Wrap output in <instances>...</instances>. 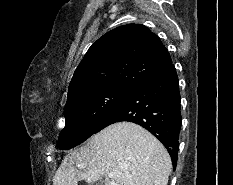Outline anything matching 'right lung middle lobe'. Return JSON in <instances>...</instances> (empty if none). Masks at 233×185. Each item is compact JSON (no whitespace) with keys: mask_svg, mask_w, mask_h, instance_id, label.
<instances>
[{"mask_svg":"<svg viewBox=\"0 0 233 185\" xmlns=\"http://www.w3.org/2000/svg\"><path fill=\"white\" fill-rule=\"evenodd\" d=\"M130 89L109 87L82 94L66 103V124L57 147L67 150L94 134L104 118L127 96Z\"/></svg>","mask_w":233,"mask_h":185,"instance_id":"obj_1","label":"right lung middle lobe"}]
</instances>
